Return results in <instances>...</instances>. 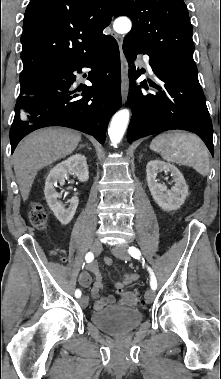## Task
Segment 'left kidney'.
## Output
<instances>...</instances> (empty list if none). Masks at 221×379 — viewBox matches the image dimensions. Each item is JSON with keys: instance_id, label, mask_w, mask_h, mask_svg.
I'll list each match as a JSON object with an SVG mask.
<instances>
[{"instance_id": "5707ae66", "label": "left kidney", "mask_w": 221, "mask_h": 379, "mask_svg": "<svg viewBox=\"0 0 221 379\" xmlns=\"http://www.w3.org/2000/svg\"><path fill=\"white\" fill-rule=\"evenodd\" d=\"M162 171L170 172L174 178L175 184L171 190L156 179L157 174ZM146 173L149 190L158 206L165 211L179 209L188 195V186L178 168L161 160H151L146 166Z\"/></svg>"}]
</instances>
